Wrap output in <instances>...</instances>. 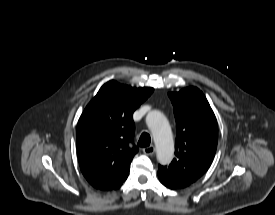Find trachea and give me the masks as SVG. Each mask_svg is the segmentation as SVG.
Instances as JSON below:
<instances>
[{"mask_svg": "<svg viewBox=\"0 0 275 215\" xmlns=\"http://www.w3.org/2000/svg\"><path fill=\"white\" fill-rule=\"evenodd\" d=\"M150 143H151L150 135L146 132L142 133L138 141V145L140 147H148L150 146Z\"/></svg>", "mask_w": 275, "mask_h": 215, "instance_id": "trachea-1", "label": "trachea"}]
</instances>
